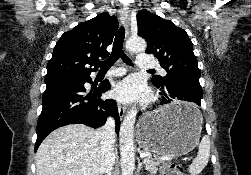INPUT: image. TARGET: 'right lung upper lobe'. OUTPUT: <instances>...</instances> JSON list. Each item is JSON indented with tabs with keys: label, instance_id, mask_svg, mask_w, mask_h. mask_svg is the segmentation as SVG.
<instances>
[{
	"label": "right lung upper lobe",
	"instance_id": "1",
	"mask_svg": "<svg viewBox=\"0 0 251 175\" xmlns=\"http://www.w3.org/2000/svg\"><path fill=\"white\" fill-rule=\"evenodd\" d=\"M118 20L104 12L65 32L56 43L47 64L45 81L90 77L94 65L109 53L106 47L113 41Z\"/></svg>",
	"mask_w": 251,
	"mask_h": 175
}]
</instances>
